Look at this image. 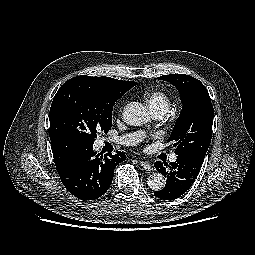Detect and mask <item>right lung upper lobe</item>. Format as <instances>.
Segmentation results:
<instances>
[{
  "mask_svg": "<svg viewBox=\"0 0 255 255\" xmlns=\"http://www.w3.org/2000/svg\"><path fill=\"white\" fill-rule=\"evenodd\" d=\"M120 81H122V82H124V83H127V84H136V83L133 82V81H123V80H120Z\"/></svg>",
  "mask_w": 255,
  "mask_h": 255,
  "instance_id": "cb5924a9",
  "label": "right lung upper lobe"
}]
</instances>
